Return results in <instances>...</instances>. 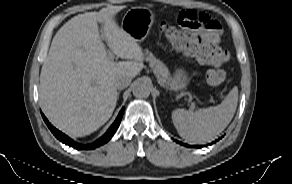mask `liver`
<instances>
[{
    "instance_id": "1",
    "label": "liver",
    "mask_w": 292,
    "mask_h": 184,
    "mask_svg": "<svg viewBox=\"0 0 292 184\" xmlns=\"http://www.w3.org/2000/svg\"><path fill=\"white\" fill-rule=\"evenodd\" d=\"M122 9L109 6L79 14L52 40L41 69L39 97L50 122L70 136L89 135L104 125L116 107L117 78L132 79L143 69L141 46L114 20ZM98 22L112 52L128 61L110 60Z\"/></svg>"
}]
</instances>
